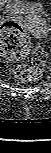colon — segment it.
I'll return each mask as SVG.
<instances>
[{
  "mask_svg": "<svg viewBox=\"0 0 51 153\" xmlns=\"http://www.w3.org/2000/svg\"><path fill=\"white\" fill-rule=\"evenodd\" d=\"M31 41L25 30L14 21L1 25V53L11 61L23 60L30 51ZM31 65L18 64L14 77L20 82L37 80L46 64V51L42 45H36L30 53Z\"/></svg>",
  "mask_w": 51,
  "mask_h": 153,
  "instance_id": "1",
  "label": "colon"
}]
</instances>
